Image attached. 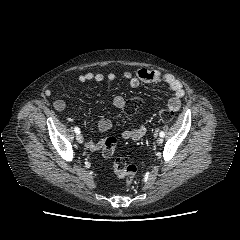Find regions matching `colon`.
<instances>
[{
    "label": "colon",
    "mask_w": 240,
    "mask_h": 240,
    "mask_svg": "<svg viewBox=\"0 0 240 240\" xmlns=\"http://www.w3.org/2000/svg\"><path fill=\"white\" fill-rule=\"evenodd\" d=\"M142 101L139 97H132L125 102L124 110L127 113L134 112ZM159 117L163 122H169L173 118V111L169 108H162L159 111ZM117 141L114 137L107 138L102 145V154L106 158H110L114 155L116 150ZM113 171L121 179H124L125 184L129 186L137 173V167L133 164H128L122 158H116L113 162Z\"/></svg>",
    "instance_id": "1"
}]
</instances>
